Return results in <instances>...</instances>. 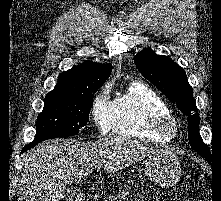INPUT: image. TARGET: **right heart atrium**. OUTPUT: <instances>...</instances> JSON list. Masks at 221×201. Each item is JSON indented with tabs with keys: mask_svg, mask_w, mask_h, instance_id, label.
<instances>
[{
	"mask_svg": "<svg viewBox=\"0 0 221 201\" xmlns=\"http://www.w3.org/2000/svg\"><path fill=\"white\" fill-rule=\"evenodd\" d=\"M112 101L109 97V87L100 90L92 102L90 114L98 131L105 135L111 130Z\"/></svg>",
	"mask_w": 221,
	"mask_h": 201,
	"instance_id": "obj_1",
	"label": "right heart atrium"
}]
</instances>
